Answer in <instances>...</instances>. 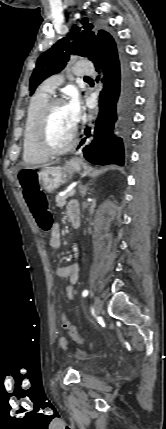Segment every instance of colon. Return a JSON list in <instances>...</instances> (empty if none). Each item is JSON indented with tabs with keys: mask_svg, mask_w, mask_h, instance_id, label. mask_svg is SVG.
Instances as JSON below:
<instances>
[{
	"mask_svg": "<svg viewBox=\"0 0 166 429\" xmlns=\"http://www.w3.org/2000/svg\"><path fill=\"white\" fill-rule=\"evenodd\" d=\"M18 180L23 197L38 226L44 231H49L52 228L53 219L48 209L47 198L39 186L37 170L33 167L21 170L18 174ZM62 327L76 342L92 346L66 318L62 319Z\"/></svg>",
	"mask_w": 166,
	"mask_h": 429,
	"instance_id": "obj_1",
	"label": "colon"
}]
</instances>
